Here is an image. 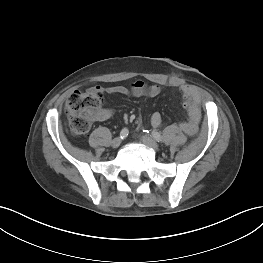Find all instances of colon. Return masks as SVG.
<instances>
[{
  "label": "colon",
  "mask_w": 263,
  "mask_h": 263,
  "mask_svg": "<svg viewBox=\"0 0 263 263\" xmlns=\"http://www.w3.org/2000/svg\"><path fill=\"white\" fill-rule=\"evenodd\" d=\"M102 102V93L91 89L75 91L69 96L65 110L72 135L82 136L89 131L91 122L102 112ZM182 105L187 111L191 108L190 101L185 97Z\"/></svg>",
  "instance_id": "obj_1"
}]
</instances>
